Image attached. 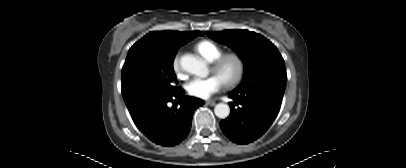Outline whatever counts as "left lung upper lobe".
Returning <instances> with one entry per match:
<instances>
[{"label": "left lung upper lobe", "mask_w": 406, "mask_h": 168, "mask_svg": "<svg viewBox=\"0 0 406 168\" xmlns=\"http://www.w3.org/2000/svg\"><path fill=\"white\" fill-rule=\"evenodd\" d=\"M205 33L213 40L234 49L244 62L243 81L232 92L241 93L251 89L285 91V63L277 48L268 39L247 30Z\"/></svg>", "instance_id": "5c2ea615"}]
</instances>
